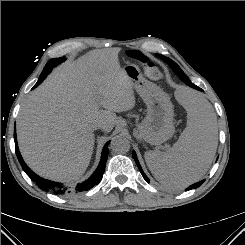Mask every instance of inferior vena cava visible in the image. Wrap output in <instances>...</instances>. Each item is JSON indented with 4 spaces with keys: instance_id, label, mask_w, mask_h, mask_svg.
Here are the masks:
<instances>
[{
    "instance_id": "obj_1",
    "label": "inferior vena cava",
    "mask_w": 245,
    "mask_h": 245,
    "mask_svg": "<svg viewBox=\"0 0 245 245\" xmlns=\"http://www.w3.org/2000/svg\"><path fill=\"white\" fill-rule=\"evenodd\" d=\"M103 127L104 125L102 123L95 125V129H102Z\"/></svg>"
}]
</instances>
